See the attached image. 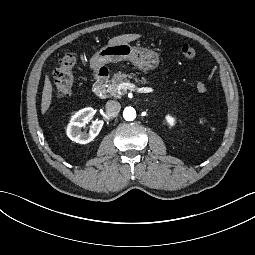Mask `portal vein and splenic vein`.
<instances>
[{
    "label": "portal vein and splenic vein",
    "instance_id": "18ae733b",
    "mask_svg": "<svg viewBox=\"0 0 255 255\" xmlns=\"http://www.w3.org/2000/svg\"><path fill=\"white\" fill-rule=\"evenodd\" d=\"M127 89L130 91H133L135 93H153V92H155V89L153 87H137L135 84L129 83V82L121 83L117 86L118 91H123V90L126 91Z\"/></svg>",
    "mask_w": 255,
    "mask_h": 255
}]
</instances>
